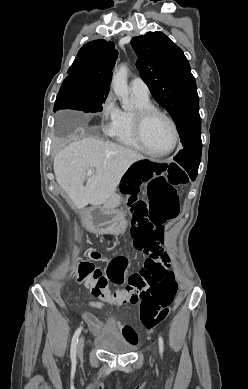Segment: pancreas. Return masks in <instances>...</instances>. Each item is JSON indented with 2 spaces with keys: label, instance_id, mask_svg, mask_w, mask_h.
<instances>
[{
  "label": "pancreas",
  "instance_id": "pancreas-1",
  "mask_svg": "<svg viewBox=\"0 0 248 389\" xmlns=\"http://www.w3.org/2000/svg\"><path fill=\"white\" fill-rule=\"evenodd\" d=\"M121 203V197L118 194L113 196L103 205V211L105 214L114 215L116 214V208Z\"/></svg>",
  "mask_w": 248,
  "mask_h": 389
}]
</instances>
